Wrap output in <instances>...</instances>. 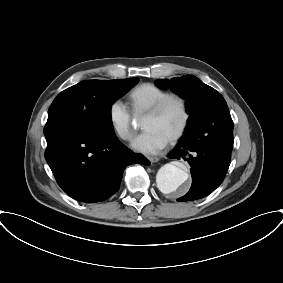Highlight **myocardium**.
Instances as JSON below:
<instances>
[{
  "mask_svg": "<svg viewBox=\"0 0 283 283\" xmlns=\"http://www.w3.org/2000/svg\"><path fill=\"white\" fill-rule=\"evenodd\" d=\"M174 101L177 102L181 107L182 122L178 130L168 139L169 143H174L178 141L184 135L188 128L191 113L186 98L178 93H168L167 95L162 97L157 103H155L145 114V117L157 116L166 108L169 103Z\"/></svg>",
  "mask_w": 283,
  "mask_h": 283,
  "instance_id": "obj_1",
  "label": "myocardium"
}]
</instances>
